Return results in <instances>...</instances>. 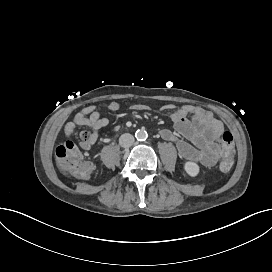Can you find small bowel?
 I'll use <instances>...</instances> for the list:
<instances>
[{
  "label": "small bowel",
  "instance_id": "1",
  "mask_svg": "<svg viewBox=\"0 0 272 272\" xmlns=\"http://www.w3.org/2000/svg\"><path fill=\"white\" fill-rule=\"evenodd\" d=\"M120 107L119 102L112 101L105 106V109L118 111ZM132 108L140 111L146 107L142 104H135ZM163 110L172 111L170 122L175 131L163 129L159 133L160 137L163 140L176 144L180 158L187 161L200 162L207 167L214 166L215 158L207 154V148L219 140L224 129L222 122L210 111L196 105L176 107L174 104H166ZM80 111H83L86 116L84 126L91 129L97 141L99 131L109 124V119L101 116L100 111L94 105L86 106ZM65 127L71 129L72 132L76 128L71 121ZM177 134L181 135L182 138H179ZM81 148L89 153H93V147Z\"/></svg>",
  "mask_w": 272,
  "mask_h": 272
}]
</instances>
